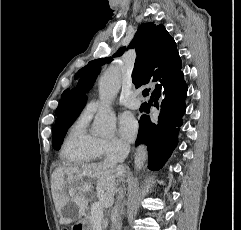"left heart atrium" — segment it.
I'll return each mask as SVG.
<instances>
[{
	"mask_svg": "<svg viewBox=\"0 0 241 230\" xmlns=\"http://www.w3.org/2000/svg\"><path fill=\"white\" fill-rule=\"evenodd\" d=\"M119 134L126 140L132 141L137 135L138 125L130 113H124L119 119Z\"/></svg>",
	"mask_w": 241,
	"mask_h": 230,
	"instance_id": "1",
	"label": "left heart atrium"
}]
</instances>
